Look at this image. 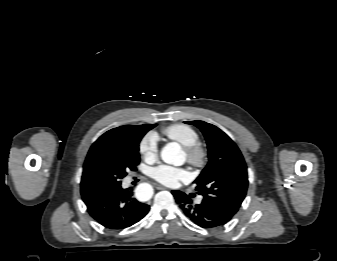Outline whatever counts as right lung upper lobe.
<instances>
[{"label": "right lung upper lobe", "mask_w": 337, "mask_h": 261, "mask_svg": "<svg viewBox=\"0 0 337 261\" xmlns=\"http://www.w3.org/2000/svg\"><path fill=\"white\" fill-rule=\"evenodd\" d=\"M155 126V124L121 126L107 131L101 137H99L95 143L128 140L134 138L137 134H145L147 131L154 128ZM84 202L87 204L90 201L87 200Z\"/></svg>", "instance_id": "right-lung-upper-lobe-1"}]
</instances>
